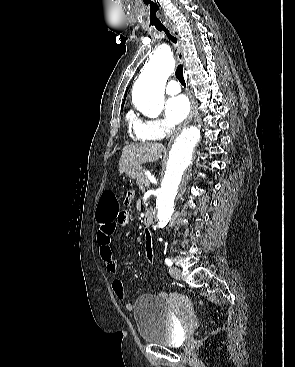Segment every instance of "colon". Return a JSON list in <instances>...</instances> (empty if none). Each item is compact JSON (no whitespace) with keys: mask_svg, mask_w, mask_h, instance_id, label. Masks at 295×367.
<instances>
[{"mask_svg":"<svg viewBox=\"0 0 295 367\" xmlns=\"http://www.w3.org/2000/svg\"><path fill=\"white\" fill-rule=\"evenodd\" d=\"M125 204H130V199L125 198ZM119 203L115 194L111 191L104 192L99 200L97 218L101 221L117 220L119 213ZM128 217V215H127ZM144 232L142 233V245L145 246L146 257L148 261L153 260V240L151 237V230L148 224L143 226Z\"/></svg>","mask_w":295,"mask_h":367,"instance_id":"5ec220e1","label":"colon"}]
</instances>
